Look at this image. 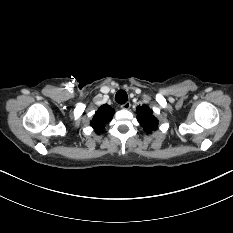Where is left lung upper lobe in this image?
Masks as SVG:
<instances>
[{
	"label": "left lung upper lobe",
	"mask_w": 233,
	"mask_h": 233,
	"mask_svg": "<svg viewBox=\"0 0 233 233\" xmlns=\"http://www.w3.org/2000/svg\"><path fill=\"white\" fill-rule=\"evenodd\" d=\"M152 113L146 105L137 107V119L146 133H151L158 126V120Z\"/></svg>",
	"instance_id": "5c2ea615"
}]
</instances>
